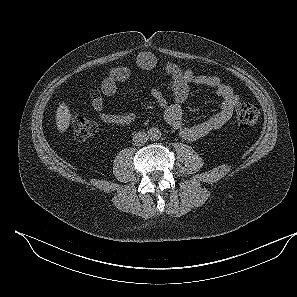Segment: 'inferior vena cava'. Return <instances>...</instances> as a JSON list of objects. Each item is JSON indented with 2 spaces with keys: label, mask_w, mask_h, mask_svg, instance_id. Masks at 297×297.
Returning a JSON list of instances; mask_svg holds the SVG:
<instances>
[{
  "label": "inferior vena cava",
  "mask_w": 297,
  "mask_h": 297,
  "mask_svg": "<svg viewBox=\"0 0 297 297\" xmlns=\"http://www.w3.org/2000/svg\"><path fill=\"white\" fill-rule=\"evenodd\" d=\"M148 135L146 132H137L133 136V143L136 146H143L148 141Z\"/></svg>",
  "instance_id": "inferior-vena-cava-1"
}]
</instances>
